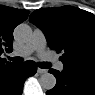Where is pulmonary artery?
<instances>
[{
    "instance_id": "e3ab8cb5",
    "label": "pulmonary artery",
    "mask_w": 95,
    "mask_h": 95,
    "mask_svg": "<svg viewBox=\"0 0 95 95\" xmlns=\"http://www.w3.org/2000/svg\"><path fill=\"white\" fill-rule=\"evenodd\" d=\"M45 46H46L45 34L42 30L37 28L33 31L30 41L27 44H25L19 51H14L12 55L27 57L34 51L43 54ZM54 65L55 68H57L58 70H63L64 66L61 62L56 61Z\"/></svg>"
}]
</instances>
